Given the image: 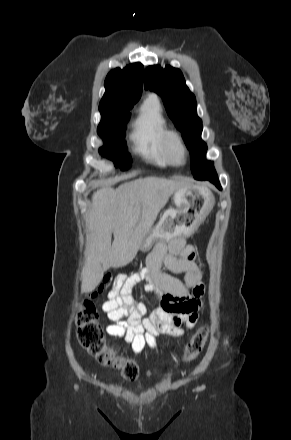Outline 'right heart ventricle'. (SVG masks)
<instances>
[{
    "label": "right heart ventricle",
    "instance_id": "1",
    "mask_svg": "<svg viewBox=\"0 0 291 440\" xmlns=\"http://www.w3.org/2000/svg\"><path fill=\"white\" fill-rule=\"evenodd\" d=\"M167 131L159 99L153 94L149 95L131 123L129 140L133 152L147 162L159 166L169 164L164 146Z\"/></svg>",
    "mask_w": 291,
    "mask_h": 440
}]
</instances>
